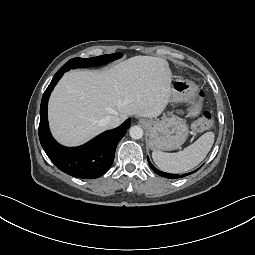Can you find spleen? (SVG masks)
Returning <instances> with one entry per match:
<instances>
[{"label":"spleen","instance_id":"3e777b00","mask_svg":"<svg viewBox=\"0 0 255 255\" xmlns=\"http://www.w3.org/2000/svg\"><path fill=\"white\" fill-rule=\"evenodd\" d=\"M213 143L214 133L206 132L182 151L177 153L153 151L152 158L155 164L165 172L184 173L204 160Z\"/></svg>","mask_w":255,"mask_h":255}]
</instances>
